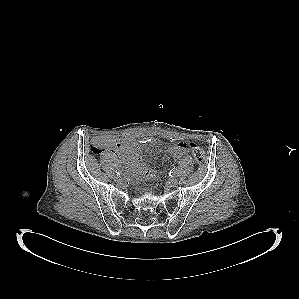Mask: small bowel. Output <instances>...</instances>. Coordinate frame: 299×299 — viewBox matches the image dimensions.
I'll return each instance as SVG.
<instances>
[{
  "instance_id": "c3829d8e",
  "label": "small bowel",
  "mask_w": 299,
  "mask_h": 299,
  "mask_svg": "<svg viewBox=\"0 0 299 299\" xmlns=\"http://www.w3.org/2000/svg\"><path fill=\"white\" fill-rule=\"evenodd\" d=\"M148 141L155 143L158 140L151 138ZM107 146L113 150V153L125 165L128 173L135 179L145 180L156 175V171L145 164L137 139L128 136L108 138ZM189 149L188 143L178 142L168 148V158L178 159L188 153Z\"/></svg>"
}]
</instances>
